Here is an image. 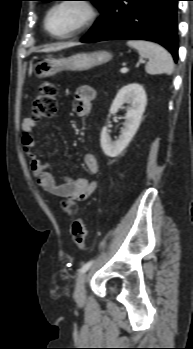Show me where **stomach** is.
I'll use <instances>...</instances> for the list:
<instances>
[{
    "label": "stomach",
    "instance_id": "0dacf381",
    "mask_svg": "<svg viewBox=\"0 0 193 349\" xmlns=\"http://www.w3.org/2000/svg\"><path fill=\"white\" fill-rule=\"evenodd\" d=\"M111 58V53L107 51L83 52L61 58H45L32 65L31 72L37 78L44 79L65 70L86 71L107 63Z\"/></svg>",
    "mask_w": 193,
    "mask_h": 349
}]
</instances>
